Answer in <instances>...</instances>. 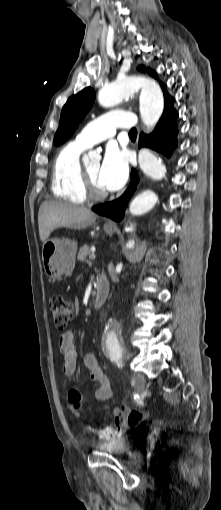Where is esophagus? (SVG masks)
Returning a JSON list of instances; mask_svg holds the SVG:
<instances>
[{
  "label": "esophagus",
  "mask_w": 221,
  "mask_h": 510,
  "mask_svg": "<svg viewBox=\"0 0 221 510\" xmlns=\"http://www.w3.org/2000/svg\"><path fill=\"white\" fill-rule=\"evenodd\" d=\"M108 224L114 225V223H113V222H111V221H108Z\"/></svg>",
  "instance_id": "esophagus-1"
}]
</instances>
